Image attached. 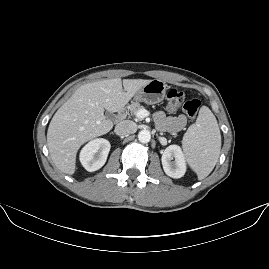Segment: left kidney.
Instances as JSON below:
<instances>
[{
  "label": "left kidney",
  "instance_id": "left-kidney-1",
  "mask_svg": "<svg viewBox=\"0 0 269 269\" xmlns=\"http://www.w3.org/2000/svg\"><path fill=\"white\" fill-rule=\"evenodd\" d=\"M172 158H175V160L172 161ZM162 165L168 176L173 178L184 177L188 166L181 146L176 144L168 146L162 155Z\"/></svg>",
  "mask_w": 269,
  "mask_h": 269
}]
</instances>
